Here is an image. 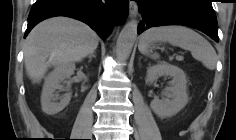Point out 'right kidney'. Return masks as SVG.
<instances>
[{
    "instance_id": "1",
    "label": "right kidney",
    "mask_w": 236,
    "mask_h": 140,
    "mask_svg": "<svg viewBox=\"0 0 236 140\" xmlns=\"http://www.w3.org/2000/svg\"><path fill=\"white\" fill-rule=\"evenodd\" d=\"M75 70L73 63L57 65L54 70L47 76L41 94V106L44 113L55 115L62 111L70 102L71 94L66 93L62 96L56 94V90L64 91L65 88L61 83L70 87L69 79Z\"/></svg>"
}]
</instances>
